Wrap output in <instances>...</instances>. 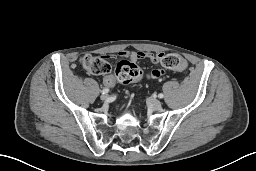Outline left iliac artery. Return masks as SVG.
Listing matches in <instances>:
<instances>
[{"label":"left iliac artery","instance_id":"obj_1","mask_svg":"<svg viewBox=\"0 0 256 171\" xmlns=\"http://www.w3.org/2000/svg\"><path fill=\"white\" fill-rule=\"evenodd\" d=\"M158 97H159V98H163L164 95H163L162 93H160V94L158 95Z\"/></svg>","mask_w":256,"mask_h":171}]
</instances>
